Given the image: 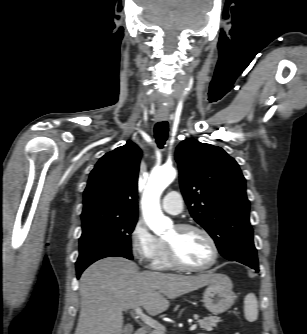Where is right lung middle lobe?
I'll return each mask as SVG.
<instances>
[{"label":"right lung middle lobe","mask_w":307,"mask_h":334,"mask_svg":"<svg viewBox=\"0 0 307 334\" xmlns=\"http://www.w3.org/2000/svg\"><path fill=\"white\" fill-rule=\"evenodd\" d=\"M137 218L95 215L82 217L77 271L110 256L132 259L130 234Z\"/></svg>","instance_id":"right-lung-middle-lobe-1"}]
</instances>
